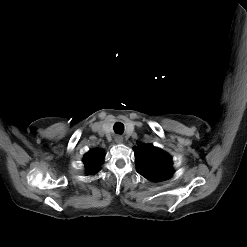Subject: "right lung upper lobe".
I'll use <instances>...</instances> for the list:
<instances>
[{
  "label": "right lung upper lobe",
  "mask_w": 247,
  "mask_h": 247,
  "mask_svg": "<svg viewBox=\"0 0 247 247\" xmlns=\"http://www.w3.org/2000/svg\"><path fill=\"white\" fill-rule=\"evenodd\" d=\"M104 155V151L100 149H94L84 156L83 162L87 168L88 174H94L99 171V166L103 162Z\"/></svg>",
  "instance_id": "obj_1"
}]
</instances>
